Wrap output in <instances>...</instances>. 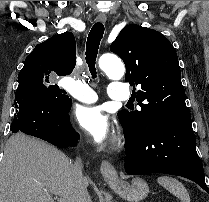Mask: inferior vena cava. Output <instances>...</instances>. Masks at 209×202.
Segmentation results:
<instances>
[{"instance_id": "inferior-vena-cava-1", "label": "inferior vena cava", "mask_w": 209, "mask_h": 202, "mask_svg": "<svg viewBox=\"0 0 209 202\" xmlns=\"http://www.w3.org/2000/svg\"><path fill=\"white\" fill-rule=\"evenodd\" d=\"M73 174L75 176V194H76V202H92L91 197L87 191V186L83 177V164L80 158L74 162L73 166Z\"/></svg>"}]
</instances>
